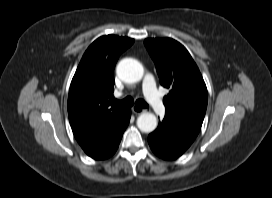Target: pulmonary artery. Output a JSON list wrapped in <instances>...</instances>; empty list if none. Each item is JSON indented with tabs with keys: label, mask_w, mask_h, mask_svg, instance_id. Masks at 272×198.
Segmentation results:
<instances>
[{
	"label": "pulmonary artery",
	"mask_w": 272,
	"mask_h": 198,
	"mask_svg": "<svg viewBox=\"0 0 272 198\" xmlns=\"http://www.w3.org/2000/svg\"><path fill=\"white\" fill-rule=\"evenodd\" d=\"M143 92L144 95L150 104V106L154 109L156 113L159 115H164L165 114V106L158 94L155 80L152 75L147 74L144 77L143 80ZM117 97H120L122 94L117 92L115 94Z\"/></svg>",
	"instance_id": "1"
}]
</instances>
